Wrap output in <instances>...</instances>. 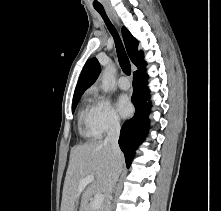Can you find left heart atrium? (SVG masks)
<instances>
[{
  "label": "left heart atrium",
  "instance_id": "obj_1",
  "mask_svg": "<svg viewBox=\"0 0 221 211\" xmlns=\"http://www.w3.org/2000/svg\"><path fill=\"white\" fill-rule=\"evenodd\" d=\"M116 109L122 117H126L131 113L132 105L126 95H120L117 98Z\"/></svg>",
  "mask_w": 221,
  "mask_h": 211
}]
</instances>
